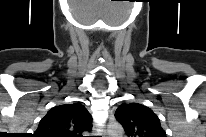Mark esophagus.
Wrapping results in <instances>:
<instances>
[{
	"instance_id": "obj_1",
	"label": "esophagus",
	"mask_w": 206,
	"mask_h": 137,
	"mask_svg": "<svg viewBox=\"0 0 206 137\" xmlns=\"http://www.w3.org/2000/svg\"><path fill=\"white\" fill-rule=\"evenodd\" d=\"M102 137H106V130L105 129L102 130Z\"/></svg>"
}]
</instances>
